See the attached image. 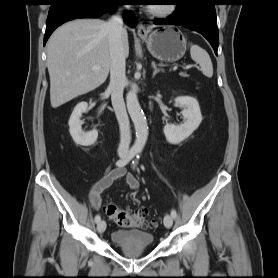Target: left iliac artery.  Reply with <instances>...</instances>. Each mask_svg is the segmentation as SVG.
<instances>
[{"label":"left iliac artery","mask_w":278,"mask_h":278,"mask_svg":"<svg viewBox=\"0 0 278 278\" xmlns=\"http://www.w3.org/2000/svg\"><path fill=\"white\" fill-rule=\"evenodd\" d=\"M137 158H139V155H137ZM137 163H138L137 160H135V161L132 162L133 168L137 165ZM171 216L173 217V219H176V217H177V212H176L175 209H173V210L171 211Z\"/></svg>","instance_id":"obj_1"}]
</instances>
